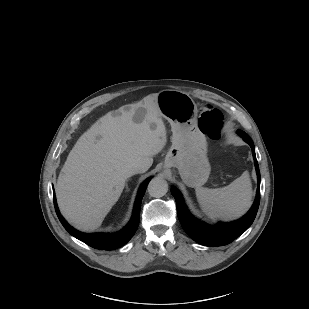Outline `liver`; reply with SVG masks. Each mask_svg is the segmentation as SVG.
Here are the masks:
<instances>
[{
  "label": "liver",
  "mask_w": 309,
  "mask_h": 309,
  "mask_svg": "<svg viewBox=\"0 0 309 309\" xmlns=\"http://www.w3.org/2000/svg\"><path fill=\"white\" fill-rule=\"evenodd\" d=\"M140 109L145 115L135 122ZM161 117L157 94H151L107 113L78 139L55 187L61 213L77 229H97L121 196L127 171L151 167L167 142Z\"/></svg>",
  "instance_id": "liver-1"
}]
</instances>
